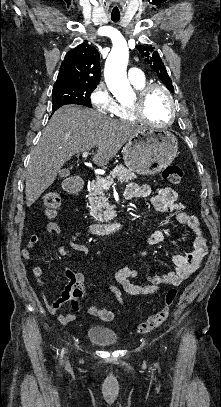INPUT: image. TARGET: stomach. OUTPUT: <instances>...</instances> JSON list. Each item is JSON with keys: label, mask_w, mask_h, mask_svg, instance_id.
Listing matches in <instances>:
<instances>
[{"label": "stomach", "mask_w": 221, "mask_h": 407, "mask_svg": "<svg viewBox=\"0 0 221 407\" xmlns=\"http://www.w3.org/2000/svg\"><path fill=\"white\" fill-rule=\"evenodd\" d=\"M178 142L168 131L142 129L123 148L125 165L140 175H153L167 167L177 155Z\"/></svg>", "instance_id": "obj_1"}]
</instances>
